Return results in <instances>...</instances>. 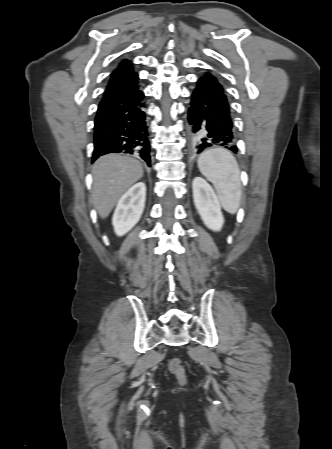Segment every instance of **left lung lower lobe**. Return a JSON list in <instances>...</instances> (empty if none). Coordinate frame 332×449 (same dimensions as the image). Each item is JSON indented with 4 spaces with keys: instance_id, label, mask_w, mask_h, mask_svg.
Listing matches in <instances>:
<instances>
[{
    "instance_id": "left-lung-lower-lobe-1",
    "label": "left lung lower lobe",
    "mask_w": 332,
    "mask_h": 449,
    "mask_svg": "<svg viewBox=\"0 0 332 449\" xmlns=\"http://www.w3.org/2000/svg\"><path fill=\"white\" fill-rule=\"evenodd\" d=\"M188 137L192 153L213 146L237 152L229 100L223 85L211 72L198 79L191 94Z\"/></svg>"
}]
</instances>
